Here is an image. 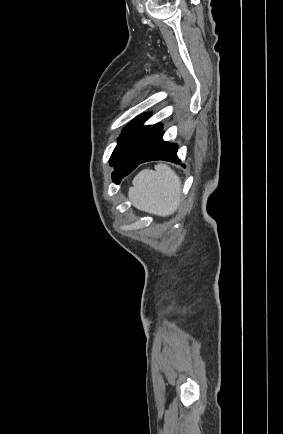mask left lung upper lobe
Returning <instances> with one entry per match:
<instances>
[{
  "instance_id": "left-lung-upper-lobe-1",
  "label": "left lung upper lobe",
  "mask_w": 283,
  "mask_h": 434,
  "mask_svg": "<svg viewBox=\"0 0 283 434\" xmlns=\"http://www.w3.org/2000/svg\"><path fill=\"white\" fill-rule=\"evenodd\" d=\"M148 118L149 114H143L124 129L111 155V166L133 161L146 153L162 131V126L159 124L142 126Z\"/></svg>"
}]
</instances>
